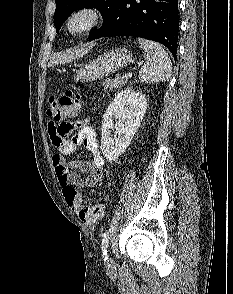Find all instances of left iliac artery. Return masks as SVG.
I'll list each match as a JSON object with an SVG mask.
<instances>
[{
	"label": "left iliac artery",
	"mask_w": 233,
	"mask_h": 294,
	"mask_svg": "<svg viewBox=\"0 0 233 294\" xmlns=\"http://www.w3.org/2000/svg\"><path fill=\"white\" fill-rule=\"evenodd\" d=\"M108 242H109V231L106 230L103 235H102V254L104 257V260H107V247H108Z\"/></svg>",
	"instance_id": "obj_1"
}]
</instances>
